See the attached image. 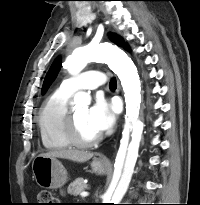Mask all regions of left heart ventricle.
Returning <instances> with one entry per match:
<instances>
[{
	"label": "left heart ventricle",
	"mask_w": 200,
	"mask_h": 205,
	"mask_svg": "<svg viewBox=\"0 0 200 205\" xmlns=\"http://www.w3.org/2000/svg\"><path fill=\"white\" fill-rule=\"evenodd\" d=\"M88 111L89 109L87 107H79L72 111L76 120L78 133L81 138L86 140L93 139L99 135L89 122Z\"/></svg>",
	"instance_id": "b2bd125f"
}]
</instances>
